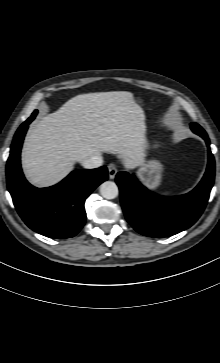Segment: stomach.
<instances>
[{
	"label": "stomach",
	"mask_w": 220,
	"mask_h": 363,
	"mask_svg": "<svg viewBox=\"0 0 220 363\" xmlns=\"http://www.w3.org/2000/svg\"><path fill=\"white\" fill-rule=\"evenodd\" d=\"M135 101L136 98H135ZM163 166L157 160H150L142 163L137 171L139 180L149 189H155L159 186L162 177Z\"/></svg>",
	"instance_id": "1"
}]
</instances>
